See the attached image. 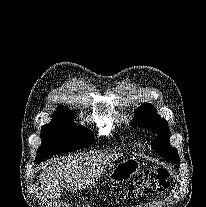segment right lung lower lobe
<instances>
[{
    "instance_id": "98d812e1",
    "label": "right lung lower lobe",
    "mask_w": 206,
    "mask_h": 207,
    "mask_svg": "<svg viewBox=\"0 0 206 207\" xmlns=\"http://www.w3.org/2000/svg\"><path fill=\"white\" fill-rule=\"evenodd\" d=\"M35 162H36V163H41V162H42V160H35Z\"/></svg>"
}]
</instances>
